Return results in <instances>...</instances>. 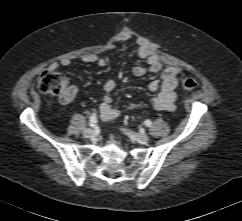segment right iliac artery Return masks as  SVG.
Masks as SVG:
<instances>
[{
    "instance_id": "right-iliac-artery-1",
    "label": "right iliac artery",
    "mask_w": 242,
    "mask_h": 221,
    "mask_svg": "<svg viewBox=\"0 0 242 221\" xmlns=\"http://www.w3.org/2000/svg\"><path fill=\"white\" fill-rule=\"evenodd\" d=\"M97 124V117L95 113H92L90 120H89V126L90 127H95Z\"/></svg>"
}]
</instances>
